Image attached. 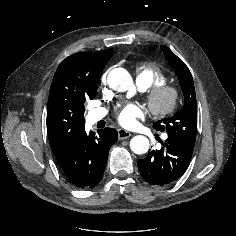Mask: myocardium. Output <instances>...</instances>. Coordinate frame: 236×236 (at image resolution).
<instances>
[{
  "label": "myocardium",
  "mask_w": 236,
  "mask_h": 236,
  "mask_svg": "<svg viewBox=\"0 0 236 236\" xmlns=\"http://www.w3.org/2000/svg\"><path fill=\"white\" fill-rule=\"evenodd\" d=\"M179 99V88L171 84H157L149 88L146 94L149 111L156 117H166L173 113Z\"/></svg>",
  "instance_id": "f54148a6"
}]
</instances>
